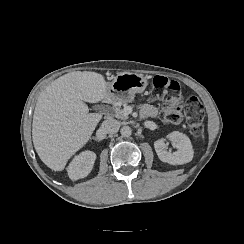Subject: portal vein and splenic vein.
Segmentation results:
<instances>
[{"instance_id":"1","label":"portal vein and splenic vein","mask_w":244,"mask_h":244,"mask_svg":"<svg viewBox=\"0 0 244 244\" xmlns=\"http://www.w3.org/2000/svg\"><path fill=\"white\" fill-rule=\"evenodd\" d=\"M125 115H128L132 112V108L131 107H125L122 111Z\"/></svg>"}]
</instances>
